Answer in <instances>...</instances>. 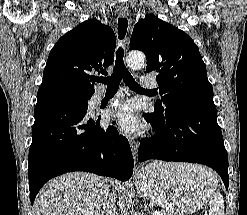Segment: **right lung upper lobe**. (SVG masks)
Segmentation results:
<instances>
[{"mask_svg":"<svg viewBox=\"0 0 247 215\" xmlns=\"http://www.w3.org/2000/svg\"><path fill=\"white\" fill-rule=\"evenodd\" d=\"M116 46L112 28L87 20L63 35L52 48L41 89L61 88L83 95L94 93L95 73L106 75Z\"/></svg>","mask_w":247,"mask_h":215,"instance_id":"obj_1","label":"right lung upper lobe"}]
</instances>
